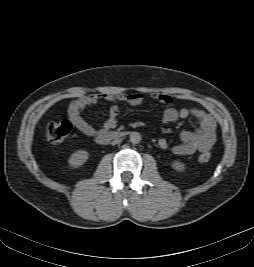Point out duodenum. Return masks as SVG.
<instances>
[{
  "instance_id": "duodenum-1",
  "label": "duodenum",
  "mask_w": 254,
  "mask_h": 267,
  "mask_svg": "<svg viewBox=\"0 0 254 267\" xmlns=\"http://www.w3.org/2000/svg\"><path fill=\"white\" fill-rule=\"evenodd\" d=\"M126 135V132L123 131H108L97 136L96 140L100 144H106L113 139L120 138Z\"/></svg>"
}]
</instances>
